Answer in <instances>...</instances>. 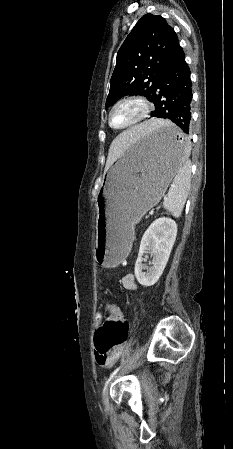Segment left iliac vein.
<instances>
[{"instance_id":"1","label":"left iliac vein","mask_w":233,"mask_h":449,"mask_svg":"<svg viewBox=\"0 0 233 449\" xmlns=\"http://www.w3.org/2000/svg\"><path fill=\"white\" fill-rule=\"evenodd\" d=\"M119 374L120 373H117L113 378H112V380H115L118 376H119ZM103 405H104V408L105 409H108L109 408V397H108V388L105 390V392H104V396H103Z\"/></svg>"}]
</instances>
